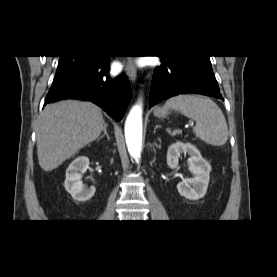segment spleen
Segmentation results:
<instances>
[{"instance_id":"3e777b00","label":"spleen","mask_w":277,"mask_h":277,"mask_svg":"<svg viewBox=\"0 0 277 277\" xmlns=\"http://www.w3.org/2000/svg\"><path fill=\"white\" fill-rule=\"evenodd\" d=\"M164 108L179 110L196 122L193 131L202 141L213 146H222L228 139L225 117L210 98L199 95H178L166 101Z\"/></svg>"}]
</instances>
